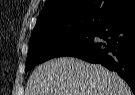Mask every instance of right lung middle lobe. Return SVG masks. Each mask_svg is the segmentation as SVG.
<instances>
[{
	"label": "right lung middle lobe",
	"mask_w": 135,
	"mask_h": 95,
	"mask_svg": "<svg viewBox=\"0 0 135 95\" xmlns=\"http://www.w3.org/2000/svg\"><path fill=\"white\" fill-rule=\"evenodd\" d=\"M95 31L79 30L63 34H40L31 37L25 71L51 58L72 56L94 40Z\"/></svg>",
	"instance_id": "right-lung-middle-lobe-1"
}]
</instances>
